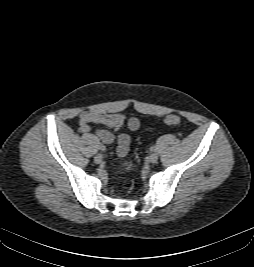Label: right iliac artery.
<instances>
[{
    "label": "right iliac artery",
    "mask_w": 254,
    "mask_h": 267,
    "mask_svg": "<svg viewBox=\"0 0 254 267\" xmlns=\"http://www.w3.org/2000/svg\"><path fill=\"white\" fill-rule=\"evenodd\" d=\"M99 149H100L101 151H105V150H106V147H105L104 145H101V146H99Z\"/></svg>",
    "instance_id": "82829eb1"
}]
</instances>
